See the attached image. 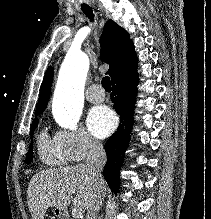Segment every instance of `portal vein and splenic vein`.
<instances>
[{
    "label": "portal vein and splenic vein",
    "mask_w": 211,
    "mask_h": 219,
    "mask_svg": "<svg viewBox=\"0 0 211 219\" xmlns=\"http://www.w3.org/2000/svg\"><path fill=\"white\" fill-rule=\"evenodd\" d=\"M81 214V210L78 209V208H74L73 209V212H72V215L73 216H79Z\"/></svg>",
    "instance_id": "portal-vein-and-splenic-vein-1"
}]
</instances>
